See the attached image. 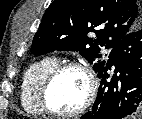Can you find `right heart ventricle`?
Listing matches in <instances>:
<instances>
[{
	"label": "right heart ventricle",
	"mask_w": 142,
	"mask_h": 119,
	"mask_svg": "<svg viewBox=\"0 0 142 119\" xmlns=\"http://www.w3.org/2000/svg\"><path fill=\"white\" fill-rule=\"evenodd\" d=\"M57 64L55 56H46L34 62L26 71L21 85V103L29 114H44L39 100L40 88L44 78Z\"/></svg>",
	"instance_id": "1"
}]
</instances>
